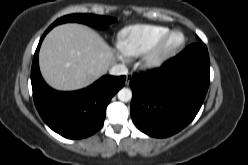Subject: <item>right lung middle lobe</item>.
<instances>
[{
  "label": "right lung middle lobe",
  "instance_id": "dd1d6c3e",
  "mask_svg": "<svg viewBox=\"0 0 248 165\" xmlns=\"http://www.w3.org/2000/svg\"><path fill=\"white\" fill-rule=\"evenodd\" d=\"M115 18L105 17V16H98L92 14H71L59 18L56 20L51 27H54L58 24L65 23V22H79L84 23L89 26L98 28V29H105L110 23L115 22Z\"/></svg>",
  "mask_w": 248,
  "mask_h": 165
}]
</instances>
